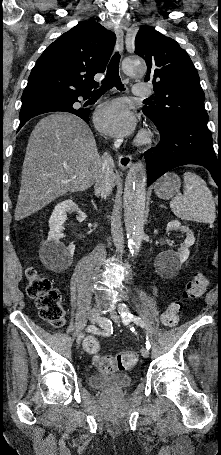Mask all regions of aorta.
<instances>
[{
    "instance_id": "obj_1",
    "label": "aorta",
    "mask_w": 221,
    "mask_h": 455,
    "mask_svg": "<svg viewBox=\"0 0 221 455\" xmlns=\"http://www.w3.org/2000/svg\"><path fill=\"white\" fill-rule=\"evenodd\" d=\"M123 72L126 75L143 76L145 63L137 57L124 59ZM146 167L142 162L132 164L127 173L123 193L124 222L130 251H138L144 235V215L146 199Z\"/></svg>"
}]
</instances>
